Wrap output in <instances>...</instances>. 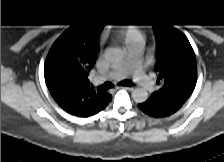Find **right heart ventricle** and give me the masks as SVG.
<instances>
[{
	"instance_id": "obj_1",
	"label": "right heart ventricle",
	"mask_w": 224,
	"mask_h": 162,
	"mask_svg": "<svg viewBox=\"0 0 224 162\" xmlns=\"http://www.w3.org/2000/svg\"><path fill=\"white\" fill-rule=\"evenodd\" d=\"M126 41L131 44L137 43L139 41L138 35L135 33V31H128Z\"/></svg>"
}]
</instances>
